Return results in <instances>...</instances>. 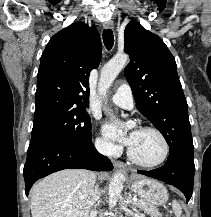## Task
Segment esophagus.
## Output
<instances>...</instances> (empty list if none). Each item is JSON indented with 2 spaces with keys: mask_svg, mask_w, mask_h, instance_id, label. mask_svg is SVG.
Listing matches in <instances>:
<instances>
[{
  "mask_svg": "<svg viewBox=\"0 0 211 217\" xmlns=\"http://www.w3.org/2000/svg\"><path fill=\"white\" fill-rule=\"evenodd\" d=\"M105 29H113L114 23L111 20H107L103 23ZM113 165L116 168L125 169V164L121 161L113 160Z\"/></svg>",
  "mask_w": 211,
  "mask_h": 217,
  "instance_id": "1",
  "label": "esophagus"
}]
</instances>
